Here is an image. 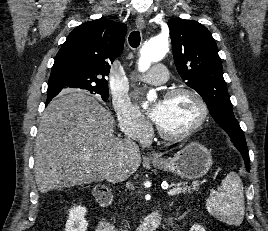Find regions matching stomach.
I'll list each match as a JSON object with an SVG mask.
<instances>
[{"instance_id":"1","label":"stomach","mask_w":268,"mask_h":231,"mask_svg":"<svg viewBox=\"0 0 268 231\" xmlns=\"http://www.w3.org/2000/svg\"><path fill=\"white\" fill-rule=\"evenodd\" d=\"M212 164L211 152L197 142L188 144L172 158L153 161L156 168L188 180L204 176Z\"/></svg>"}]
</instances>
